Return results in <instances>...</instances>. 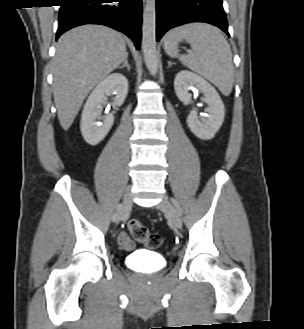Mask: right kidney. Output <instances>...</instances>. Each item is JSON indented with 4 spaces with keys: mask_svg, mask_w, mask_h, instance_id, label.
<instances>
[{
    "mask_svg": "<svg viewBox=\"0 0 304 329\" xmlns=\"http://www.w3.org/2000/svg\"><path fill=\"white\" fill-rule=\"evenodd\" d=\"M128 93V80L120 73H113L103 79L88 97L80 122V129L85 141L90 145L99 144L111 129L114 116L109 114L101 119V108L107 103V96L114 95L112 105L121 106Z\"/></svg>",
    "mask_w": 304,
    "mask_h": 329,
    "instance_id": "1",
    "label": "right kidney"
}]
</instances>
